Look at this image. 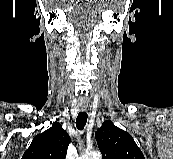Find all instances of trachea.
<instances>
[{
  "label": "trachea",
  "instance_id": "obj_1",
  "mask_svg": "<svg viewBox=\"0 0 173 159\" xmlns=\"http://www.w3.org/2000/svg\"><path fill=\"white\" fill-rule=\"evenodd\" d=\"M87 113L86 112H79L77 119H76V127L78 130L82 131L86 125L87 122Z\"/></svg>",
  "mask_w": 173,
  "mask_h": 159
}]
</instances>
